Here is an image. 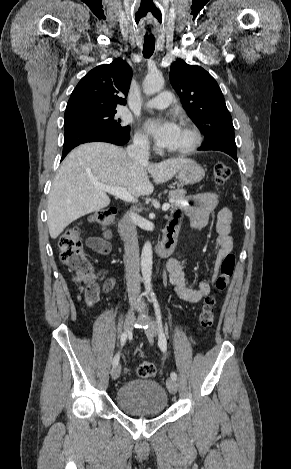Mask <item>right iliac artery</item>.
Masks as SVG:
<instances>
[{
	"label": "right iliac artery",
	"mask_w": 291,
	"mask_h": 469,
	"mask_svg": "<svg viewBox=\"0 0 291 469\" xmlns=\"http://www.w3.org/2000/svg\"><path fill=\"white\" fill-rule=\"evenodd\" d=\"M126 340H127V334L125 332L121 335V338H120L121 346L125 344ZM119 358H120V353L118 352L113 358V362H112L113 366L118 364Z\"/></svg>",
	"instance_id": "82829eb1"
}]
</instances>
